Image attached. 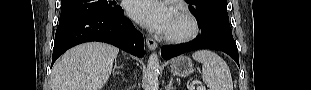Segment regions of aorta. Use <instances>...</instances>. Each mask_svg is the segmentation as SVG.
Wrapping results in <instances>:
<instances>
[{
  "label": "aorta",
  "instance_id": "762f6f07",
  "mask_svg": "<svg viewBox=\"0 0 311 90\" xmlns=\"http://www.w3.org/2000/svg\"><path fill=\"white\" fill-rule=\"evenodd\" d=\"M159 59L156 53H152L149 56L147 63V80L145 90H158L159 89Z\"/></svg>",
  "mask_w": 311,
  "mask_h": 90
}]
</instances>
